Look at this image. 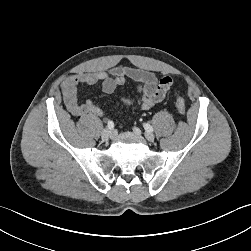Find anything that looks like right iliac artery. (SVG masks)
<instances>
[{"label":"right iliac artery","mask_w":251,"mask_h":251,"mask_svg":"<svg viewBox=\"0 0 251 251\" xmlns=\"http://www.w3.org/2000/svg\"><path fill=\"white\" fill-rule=\"evenodd\" d=\"M107 126H108L109 129L112 130V129L114 128V123H113V121H108Z\"/></svg>","instance_id":"obj_1"}]
</instances>
